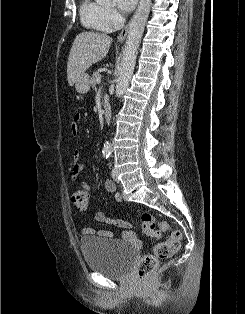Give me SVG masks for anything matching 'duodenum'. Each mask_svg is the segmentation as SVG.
<instances>
[{
    "mask_svg": "<svg viewBox=\"0 0 245 314\" xmlns=\"http://www.w3.org/2000/svg\"><path fill=\"white\" fill-rule=\"evenodd\" d=\"M102 104H103V109H104L105 123L109 124L111 121V117H112V106H111L110 100L107 96H104L102 98Z\"/></svg>",
    "mask_w": 245,
    "mask_h": 314,
    "instance_id": "1",
    "label": "duodenum"
}]
</instances>
